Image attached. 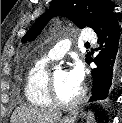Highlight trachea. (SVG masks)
Instances as JSON below:
<instances>
[{"mask_svg":"<svg viewBox=\"0 0 122 123\" xmlns=\"http://www.w3.org/2000/svg\"><path fill=\"white\" fill-rule=\"evenodd\" d=\"M85 46H90V44L89 43H86Z\"/></svg>","mask_w":122,"mask_h":123,"instance_id":"3493384b","label":"trachea"}]
</instances>
